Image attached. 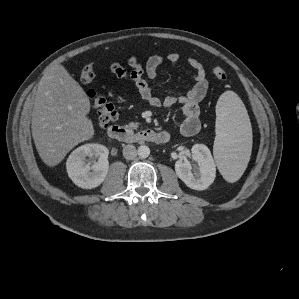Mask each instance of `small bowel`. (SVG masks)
Returning <instances> with one entry per match:
<instances>
[{
    "instance_id": "c3829d8e",
    "label": "small bowel",
    "mask_w": 299,
    "mask_h": 299,
    "mask_svg": "<svg viewBox=\"0 0 299 299\" xmlns=\"http://www.w3.org/2000/svg\"><path fill=\"white\" fill-rule=\"evenodd\" d=\"M167 60L170 63H179L182 60V56L178 52H171L167 55ZM162 63L163 57L160 55L150 56L144 66L136 56H131L128 59L130 70H127L118 62H113L110 68L116 77L132 80L141 98L151 106L171 108L179 104L183 116L180 127L181 132L186 136L195 135L200 129L199 105L206 96L209 87L206 71L198 60L194 58L187 59V64L194 70V84L185 95L161 98L153 94L147 79L156 77L158 68Z\"/></svg>"
}]
</instances>
